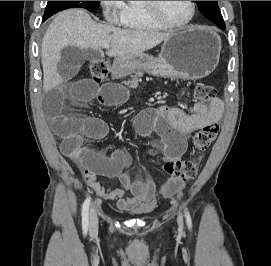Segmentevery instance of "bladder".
Returning <instances> with one entry per match:
<instances>
[{
  "mask_svg": "<svg viewBox=\"0 0 271 266\" xmlns=\"http://www.w3.org/2000/svg\"><path fill=\"white\" fill-rule=\"evenodd\" d=\"M135 214H137V215H145L146 211L144 209H138V210L135 211Z\"/></svg>",
  "mask_w": 271,
  "mask_h": 266,
  "instance_id": "obj_1",
  "label": "bladder"
}]
</instances>
